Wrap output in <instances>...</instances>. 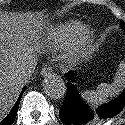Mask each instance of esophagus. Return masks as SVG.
Segmentation results:
<instances>
[{
    "mask_svg": "<svg viewBox=\"0 0 125 125\" xmlns=\"http://www.w3.org/2000/svg\"><path fill=\"white\" fill-rule=\"evenodd\" d=\"M51 72H52L51 67H46V68H43V69H42L41 75H42V76L51 75Z\"/></svg>",
    "mask_w": 125,
    "mask_h": 125,
    "instance_id": "obj_1",
    "label": "esophagus"
}]
</instances>
